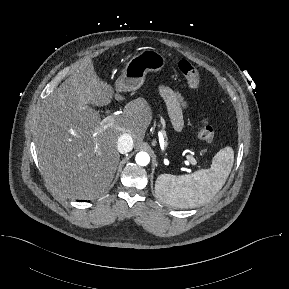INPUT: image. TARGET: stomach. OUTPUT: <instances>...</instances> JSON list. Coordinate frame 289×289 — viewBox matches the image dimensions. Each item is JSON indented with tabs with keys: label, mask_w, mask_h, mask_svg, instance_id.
<instances>
[{
	"label": "stomach",
	"mask_w": 289,
	"mask_h": 289,
	"mask_svg": "<svg viewBox=\"0 0 289 289\" xmlns=\"http://www.w3.org/2000/svg\"><path fill=\"white\" fill-rule=\"evenodd\" d=\"M166 64L165 57L154 49H144L126 63L120 77L116 80L117 92L138 89L145 81L148 72H160Z\"/></svg>",
	"instance_id": "1"
}]
</instances>
